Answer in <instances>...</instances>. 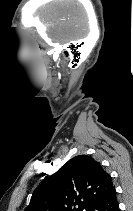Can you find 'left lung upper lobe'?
I'll return each mask as SVG.
<instances>
[{
  "mask_svg": "<svg viewBox=\"0 0 133 211\" xmlns=\"http://www.w3.org/2000/svg\"><path fill=\"white\" fill-rule=\"evenodd\" d=\"M113 187L99 162L78 155L35 189L24 211H92Z\"/></svg>",
  "mask_w": 133,
  "mask_h": 211,
  "instance_id": "left-lung-upper-lobe-1",
  "label": "left lung upper lobe"
}]
</instances>
